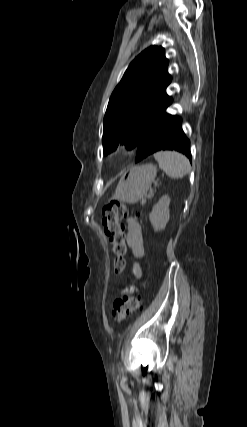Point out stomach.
Instances as JSON below:
<instances>
[{"label":"stomach","mask_w":247,"mask_h":427,"mask_svg":"<svg viewBox=\"0 0 247 427\" xmlns=\"http://www.w3.org/2000/svg\"><path fill=\"white\" fill-rule=\"evenodd\" d=\"M157 169L152 164L134 166L123 172L112 199L135 204L146 197Z\"/></svg>","instance_id":"obj_1"}]
</instances>
